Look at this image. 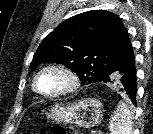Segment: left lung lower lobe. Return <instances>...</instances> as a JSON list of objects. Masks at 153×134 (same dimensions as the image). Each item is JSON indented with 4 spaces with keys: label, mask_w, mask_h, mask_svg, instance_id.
<instances>
[{
    "label": "left lung lower lobe",
    "mask_w": 153,
    "mask_h": 134,
    "mask_svg": "<svg viewBox=\"0 0 153 134\" xmlns=\"http://www.w3.org/2000/svg\"><path fill=\"white\" fill-rule=\"evenodd\" d=\"M104 83H117L119 91L126 94L131 101L136 104V67L134 56L129 58L124 64H122L117 71L114 72L110 78H105Z\"/></svg>",
    "instance_id": "obj_1"
}]
</instances>
